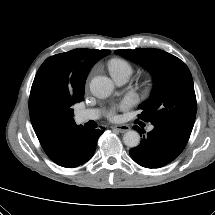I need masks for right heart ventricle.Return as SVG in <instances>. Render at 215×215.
<instances>
[{
  "instance_id": "obj_1",
  "label": "right heart ventricle",
  "mask_w": 215,
  "mask_h": 215,
  "mask_svg": "<svg viewBox=\"0 0 215 215\" xmlns=\"http://www.w3.org/2000/svg\"><path fill=\"white\" fill-rule=\"evenodd\" d=\"M107 68L113 78L126 76L130 77L133 72L131 63L122 58H112L107 63Z\"/></svg>"
}]
</instances>
